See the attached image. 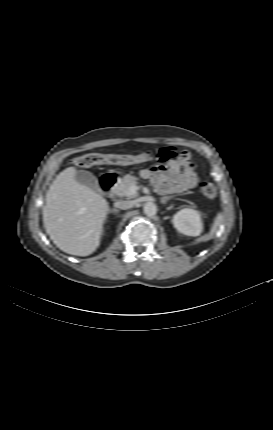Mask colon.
Wrapping results in <instances>:
<instances>
[{"mask_svg": "<svg viewBox=\"0 0 273 430\" xmlns=\"http://www.w3.org/2000/svg\"><path fill=\"white\" fill-rule=\"evenodd\" d=\"M158 157L160 158L162 156L158 155ZM152 158L153 155L149 151L136 155L90 153L75 158L73 160V165L84 168L108 164L130 165L150 161ZM200 189L202 194L209 199L214 198L217 194L216 186L211 182H203Z\"/></svg>", "mask_w": 273, "mask_h": 430, "instance_id": "colon-1", "label": "colon"}]
</instances>
